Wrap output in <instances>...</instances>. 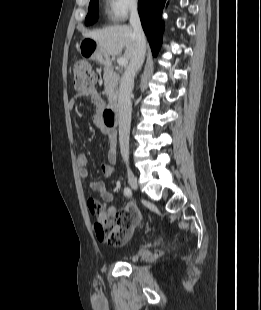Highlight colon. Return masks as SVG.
Segmentation results:
<instances>
[{"mask_svg":"<svg viewBox=\"0 0 261 310\" xmlns=\"http://www.w3.org/2000/svg\"><path fill=\"white\" fill-rule=\"evenodd\" d=\"M73 86L77 91L91 87L96 80V74L89 62L84 59H75L72 62ZM88 206L95 216V233L97 238L111 246H121L126 243L130 233L142 219V213L134 200H129L123 210L115 215H108L103 211L101 204L90 199Z\"/></svg>","mask_w":261,"mask_h":310,"instance_id":"1","label":"colon"}]
</instances>
